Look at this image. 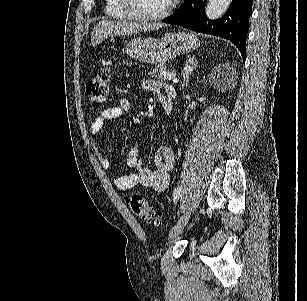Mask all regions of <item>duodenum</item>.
<instances>
[{"mask_svg": "<svg viewBox=\"0 0 307 301\" xmlns=\"http://www.w3.org/2000/svg\"><path fill=\"white\" fill-rule=\"evenodd\" d=\"M160 103L167 114L173 110V97L169 90L159 96Z\"/></svg>", "mask_w": 307, "mask_h": 301, "instance_id": "410a0bca", "label": "duodenum"}]
</instances>
